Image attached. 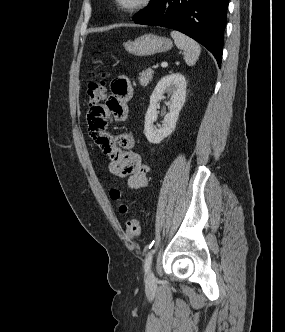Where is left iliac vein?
<instances>
[{
	"label": "left iliac vein",
	"instance_id": "obj_1",
	"mask_svg": "<svg viewBox=\"0 0 285 332\" xmlns=\"http://www.w3.org/2000/svg\"><path fill=\"white\" fill-rule=\"evenodd\" d=\"M146 283L148 285H153L155 283V276L152 271H150L146 278Z\"/></svg>",
	"mask_w": 285,
	"mask_h": 332
}]
</instances>
